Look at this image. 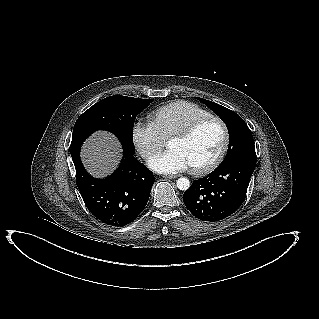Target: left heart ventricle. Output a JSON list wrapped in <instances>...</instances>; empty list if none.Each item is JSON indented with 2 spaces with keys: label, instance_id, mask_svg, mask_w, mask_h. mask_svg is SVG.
<instances>
[{
  "label": "left heart ventricle",
  "instance_id": "obj_1",
  "mask_svg": "<svg viewBox=\"0 0 319 319\" xmlns=\"http://www.w3.org/2000/svg\"><path fill=\"white\" fill-rule=\"evenodd\" d=\"M222 139L220 126L215 122H208L190 138L172 140L168 147L179 151L188 161L189 167H199L209 163L217 155Z\"/></svg>",
  "mask_w": 319,
  "mask_h": 319
}]
</instances>
